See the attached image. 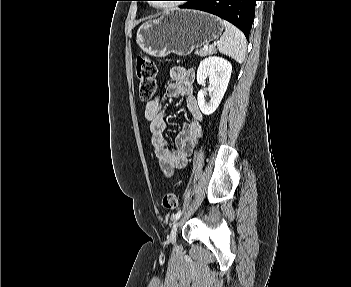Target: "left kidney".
Here are the masks:
<instances>
[{
  "label": "left kidney",
  "instance_id": "1",
  "mask_svg": "<svg viewBox=\"0 0 351 287\" xmlns=\"http://www.w3.org/2000/svg\"><path fill=\"white\" fill-rule=\"evenodd\" d=\"M232 65L229 61L218 56H209L200 62L197 70V82L204 86L205 80L209 78L210 100L205 101L206 91L198 92L197 100L200 110L205 115L212 114L219 106L231 77Z\"/></svg>",
  "mask_w": 351,
  "mask_h": 287
}]
</instances>
